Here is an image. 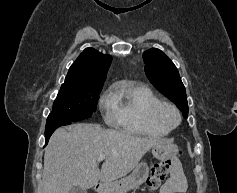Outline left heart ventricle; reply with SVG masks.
<instances>
[{"label":"left heart ventricle","instance_id":"obj_1","mask_svg":"<svg viewBox=\"0 0 237 193\" xmlns=\"http://www.w3.org/2000/svg\"><path fill=\"white\" fill-rule=\"evenodd\" d=\"M165 117H166V120H167L169 123H173V122L175 121V116H174L173 113L170 112V111H167V112H166Z\"/></svg>","mask_w":237,"mask_h":193}]
</instances>
